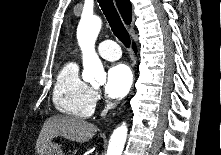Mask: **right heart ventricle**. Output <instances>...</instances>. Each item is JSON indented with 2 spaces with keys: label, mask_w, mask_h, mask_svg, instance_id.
Masks as SVG:
<instances>
[{
  "label": "right heart ventricle",
  "mask_w": 221,
  "mask_h": 155,
  "mask_svg": "<svg viewBox=\"0 0 221 155\" xmlns=\"http://www.w3.org/2000/svg\"><path fill=\"white\" fill-rule=\"evenodd\" d=\"M53 103L66 115L87 118L92 115L95 98L92 88L79 75L77 63H66L59 71L54 90Z\"/></svg>",
  "instance_id": "1"
}]
</instances>
